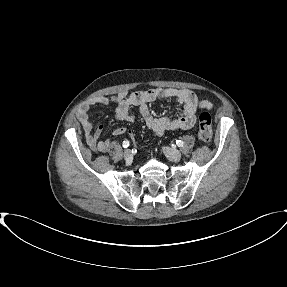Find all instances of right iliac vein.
I'll return each instance as SVG.
<instances>
[{"mask_svg": "<svg viewBox=\"0 0 287 287\" xmlns=\"http://www.w3.org/2000/svg\"><path fill=\"white\" fill-rule=\"evenodd\" d=\"M123 156L126 161H131L132 160L131 150L129 149L125 150Z\"/></svg>", "mask_w": 287, "mask_h": 287, "instance_id": "right-iliac-vein-1", "label": "right iliac vein"}]
</instances>
